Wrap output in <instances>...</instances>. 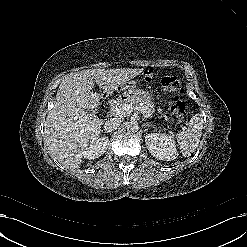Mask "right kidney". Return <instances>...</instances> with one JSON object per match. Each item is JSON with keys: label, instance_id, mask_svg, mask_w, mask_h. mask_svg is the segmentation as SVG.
Here are the masks:
<instances>
[{"label": "right kidney", "instance_id": "obj_1", "mask_svg": "<svg viewBox=\"0 0 247 247\" xmlns=\"http://www.w3.org/2000/svg\"><path fill=\"white\" fill-rule=\"evenodd\" d=\"M109 142L110 141L108 137H101L92 141L90 145L83 151L84 158L91 160L100 157L107 150Z\"/></svg>", "mask_w": 247, "mask_h": 247}]
</instances>
